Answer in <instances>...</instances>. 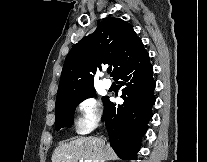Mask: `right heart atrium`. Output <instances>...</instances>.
<instances>
[{"label": "right heart atrium", "instance_id": "1", "mask_svg": "<svg viewBox=\"0 0 207 162\" xmlns=\"http://www.w3.org/2000/svg\"><path fill=\"white\" fill-rule=\"evenodd\" d=\"M78 131L82 134L88 133L101 120V111L96 98L87 96L78 104Z\"/></svg>", "mask_w": 207, "mask_h": 162}]
</instances>
